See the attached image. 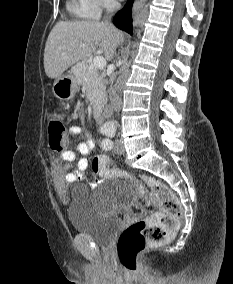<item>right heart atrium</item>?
<instances>
[{"mask_svg":"<svg viewBox=\"0 0 233 284\" xmlns=\"http://www.w3.org/2000/svg\"><path fill=\"white\" fill-rule=\"evenodd\" d=\"M99 6L105 10H111L118 4L117 0H97Z\"/></svg>","mask_w":233,"mask_h":284,"instance_id":"obj_1","label":"right heart atrium"}]
</instances>
